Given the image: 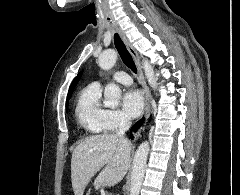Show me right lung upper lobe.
<instances>
[{
	"label": "right lung upper lobe",
	"mask_w": 240,
	"mask_h": 195,
	"mask_svg": "<svg viewBox=\"0 0 240 195\" xmlns=\"http://www.w3.org/2000/svg\"><path fill=\"white\" fill-rule=\"evenodd\" d=\"M80 78H81V73H79V74L77 75V77L73 80V82H72V84H71V86H70L69 92H68V98H70V96H71V94H72V92H73V90H74V88H75V86H76V84L78 83V81H79ZM67 104H68V103H67Z\"/></svg>",
	"instance_id": "obj_1"
}]
</instances>
